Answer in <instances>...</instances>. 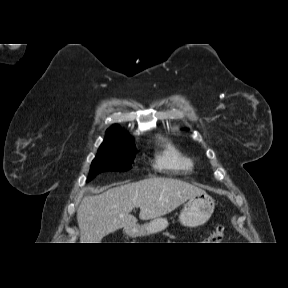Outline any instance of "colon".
<instances>
[{
    "instance_id": "5ec220e1",
    "label": "colon",
    "mask_w": 288,
    "mask_h": 288,
    "mask_svg": "<svg viewBox=\"0 0 288 288\" xmlns=\"http://www.w3.org/2000/svg\"><path fill=\"white\" fill-rule=\"evenodd\" d=\"M225 236V227L222 225H219L216 227L213 234L207 239L209 243L213 244H219L222 242L223 238Z\"/></svg>"
}]
</instances>
